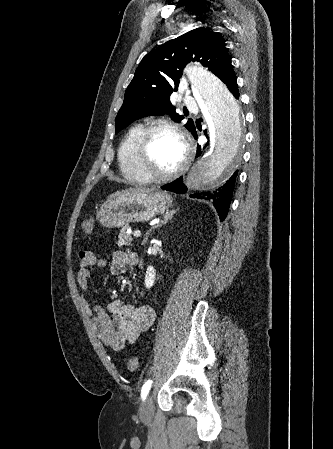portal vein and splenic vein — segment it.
I'll return each instance as SVG.
<instances>
[{"mask_svg": "<svg viewBox=\"0 0 333 449\" xmlns=\"http://www.w3.org/2000/svg\"><path fill=\"white\" fill-rule=\"evenodd\" d=\"M134 236L135 237H140L141 236V232L140 231H135Z\"/></svg>", "mask_w": 333, "mask_h": 449, "instance_id": "obj_1", "label": "portal vein and splenic vein"}]
</instances>
